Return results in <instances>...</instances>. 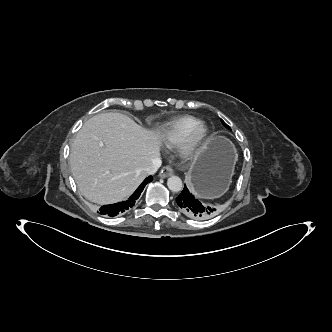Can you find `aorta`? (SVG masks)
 Returning <instances> with one entry per match:
<instances>
[{"label":"aorta","mask_w":332,"mask_h":332,"mask_svg":"<svg viewBox=\"0 0 332 332\" xmlns=\"http://www.w3.org/2000/svg\"><path fill=\"white\" fill-rule=\"evenodd\" d=\"M167 186L172 192H179L182 190V180L178 176H171L167 180Z\"/></svg>","instance_id":"obj_1"}]
</instances>
